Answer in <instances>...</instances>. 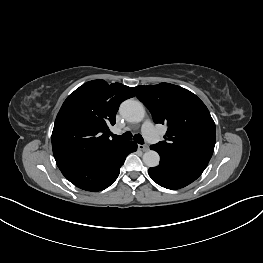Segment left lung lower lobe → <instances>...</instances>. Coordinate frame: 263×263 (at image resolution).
I'll return each instance as SVG.
<instances>
[{
  "mask_svg": "<svg viewBox=\"0 0 263 263\" xmlns=\"http://www.w3.org/2000/svg\"><path fill=\"white\" fill-rule=\"evenodd\" d=\"M160 164L149 168L151 179L162 187L168 189H180L195 181L205 170L198 167L170 159L162 154Z\"/></svg>",
  "mask_w": 263,
  "mask_h": 263,
  "instance_id": "0a47b994",
  "label": "left lung lower lobe"
}]
</instances>
